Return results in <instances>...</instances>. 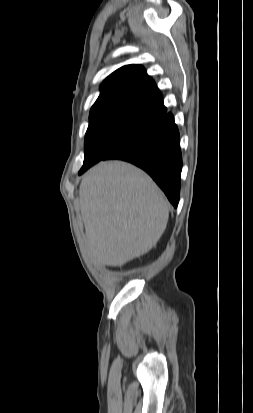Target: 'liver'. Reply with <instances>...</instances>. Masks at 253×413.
<instances>
[{
    "label": "liver",
    "instance_id": "6515ba94",
    "mask_svg": "<svg viewBox=\"0 0 253 413\" xmlns=\"http://www.w3.org/2000/svg\"><path fill=\"white\" fill-rule=\"evenodd\" d=\"M79 205L95 265L121 267L149 252L166 229L169 203L141 169L100 162L83 177Z\"/></svg>",
    "mask_w": 253,
    "mask_h": 413
}]
</instances>
